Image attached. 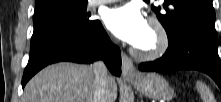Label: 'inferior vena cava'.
Returning <instances> with one entry per match:
<instances>
[{
  "mask_svg": "<svg viewBox=\"0 0 221 102\" xmlns=\"http://www.w3.org/2000/svg\"><path fill=\"white\" fill-rule=\"evenodd\" d=\"M94 96L93 102H110L108 98L109 74L103 61H97L93 64Z\"/></svg>",
  "mask_w": 221,
  "mask_h": 102,
  "instance_id": "obj_1",
  "label": "inferior vena cava"
}]
</instances>
